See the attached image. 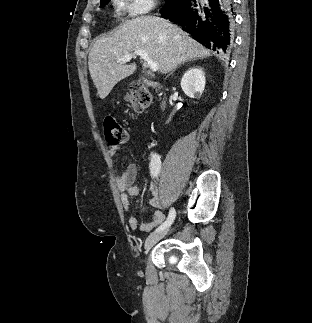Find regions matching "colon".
Segmentation results:
<instances>
[{"instance_id":"5ec220e1","label":"colon","mask_w":312,"mask_h":323,"mask_svg":"<svg viewBox=\"0 0 312 323\" xmlns=\"http://www.w3.org/2000/svg\"><path fill=\"white\" fill-rule=\"evenodd\" d=\"M130 88L131 91L125 97V101L132 109L139 110L145 108L151 102L152 95L144 88L141 82L133 81ZM103 130L105 141L110 146L124 144L128 136L125 126L112 117L104 120Z\"/></svg>"}]
</instances>
